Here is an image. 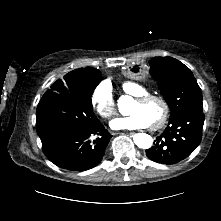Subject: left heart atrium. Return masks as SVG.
<instances>
[{
	"mask_svg": "<svg viewBox=\"0 0 221 221\" xmlns=\"http://www.w3.org/2000/svg\"><path fill=\"white\" fill-rule=\"evenodd\" d=\"M110 125L115 130H133L146 128L149 126V123L140 113H131L128 116L113 120Z\"/></svg>",
	"mask_w": 221,
	"mask_h": 221,
	"instance_id": "39dd6f15",
	"label": "left heart atrium"
}]
</instances>
